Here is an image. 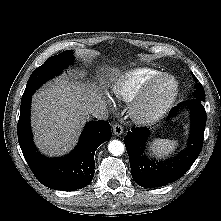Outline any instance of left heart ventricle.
Listing matches in <instances>:
<instances>
[{
  "instance_id": "left-heart-ventricle-1",
  "label": "left heart ventricle",
  "mask_w": 221,
  "mask_h": 221,
  "mask_svg": "<svg viewBox=\"0 0 221 221\" xmlns=\"http://www.w3.org/2000/svg\"><path fill=\"white\" fill-rule=\"evenodd\" d=\"M170 88L171 85L168 82H163L159 86H157L151 96L152 103H157L162 99H164L166 95L169 93Z\"/></svg>"
}]
</instances>
